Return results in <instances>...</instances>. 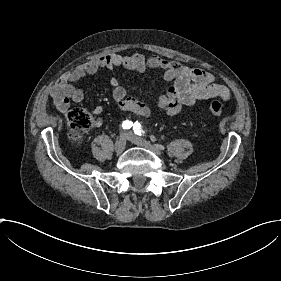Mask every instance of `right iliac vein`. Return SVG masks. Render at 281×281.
Instances as JSON below:
<instances>
[{
    "label": "right iliac vein",
    "mask_w": 281,
    "mask_h": 281,
    "mask_svg": "<svg viewBox=\"0 0 281 281\" xmlns=\"http://www.w3.org/2000/svg\"><path fill=\"white\" fill-rule=\"evenodd\" d=\"M115 144H116V145H115V152H116L117 154L122 153V152L124 151V146H125V144H126L125 139L121 137L120 141L115 142Z\"/></svg>",
    "instance_id": "1"
}]
</instances>
